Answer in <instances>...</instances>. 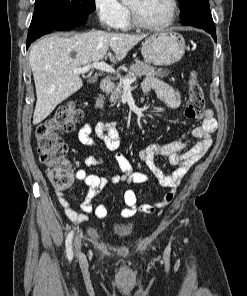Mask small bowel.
<instances>
[{
    "mask_svg": "<svg viewBox=\"0 0 247 296\" xmlns=\"http://www.w3.org/2000/svg\"><path fill=\"white\" fill-rule=\"evenodd\" d=\"M144 93L156 92L161 99L170 107L175 108L180 104L178 90L163 81L147 77L142 83ZM218 123L214 118L213 111L209 108L202 113L201 124L192 130V135L198 142L187 149V143L176 141L166 144H152L139 151V158L148 167L158 182L169 187L171 190L155 203H138V195L134 189H127L124 192L125 207L121 211V217L128 219L137 212L154 213L156 209L168 206L181 185L183 177L189 168L196 163L209 149L212 144L211 134L216 131ZM95 135L99 142L108 150L115 153V161L121 174L111 172L109 177L98 176L89 172V169L98 166L102 160L95 156L84 158V168L78 169L75 176L83 181L88 187L84 200L80 205V211L68 201L64 193L56 192L58 202L64 209L66 216L76 222L83 223L88 220V214H94L98 219L108 217V209L104 204L93 205L92 201L96 195L109 183H127L140 185L150 180L149 175L135 172L129 160L119 152L120 141L116 122H95L85 124L78 132L82 144L97 147L98 142L92 137ZM164 157L175 169L172 173H164L155 163L156 158Z\"/></svg>",
    "mask_w": 247,
    "mask_h": 296,
    "instance_id": "1",
    "label": "small bowel"
}]
</instances>
